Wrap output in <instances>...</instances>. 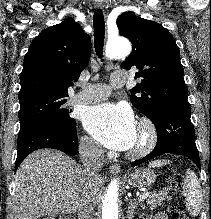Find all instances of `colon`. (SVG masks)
<instances>
[{"label":"colon","mask_w":211,"mask_h":219,"mask_svg":"<svg viewBox=\"0 0 211 219\" xmlns=\"http://www.w3.org/2000/svg\"><path fill=\"white\" fill-rule=\"evenodd\" d=\"M172 184L175 186V187H180L181 184H182V179L180 176H175L173 177L172 179ZM42 219H71V218H67L65 216H61V215H55V216H48V217H44ZM171 219H188L185 211L182 209V208H177L172 216H171Z\"/></svg>","instance_id":"5ec220e1"}]
</instances>
